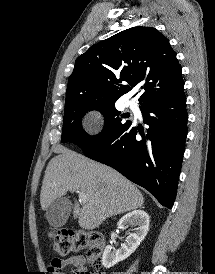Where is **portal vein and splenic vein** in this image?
Returning <instances> with one entry per match:
<instances>
[{"label":"portal vein and splenic vein","instance_id":"portal-vein-and-splenic-vein-1","mask_svg":"<svg viewBox=\"0 0 215 274\" xmlns=\"http://www.w3.org/2000/svg\"><path fill=\"white\" fill-rule=\"evenodd\" d=\"M78 194H79V199L81 201H85L86 200L87 196H86V194L84 192L78 191Z\"/></svg>","mask_w":215,"mask_h":274}]
</instances>
